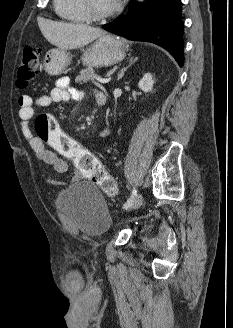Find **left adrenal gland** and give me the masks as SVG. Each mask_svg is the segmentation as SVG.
<instances>
[{"label":"left adrenal gland","instance_id":"left-adrenal-gland-1","mask_svg":"<svg viewBox=\"0 0 233 328\" xmlns=\"http://www.w3.org/2000/svg\"><path fill=\"white\" fill-rule=\"evenodd\" d=\"M138 58H130L129 60V65L123 69H121L120 73L118 74V78H117V81H119L125 74V72L127 71V69L133 65L136 61H137Z\"/></svg>","mask_w":233,"mask_h":328}]
</instances>
